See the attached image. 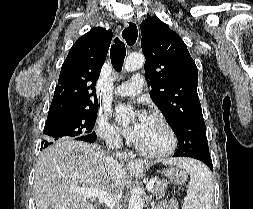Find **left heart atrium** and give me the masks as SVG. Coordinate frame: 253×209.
I'll use <instances>...</instances> for the list:
<instances>
[{
	"label": "left heart atrium",
	"instance_id": "39dd6f15",
	"mask_svg": "<svg viewBox=\"0 0 253 209\" xmlns=\"http://www.w3.org/2000/svg\"><path fill=\"white\" fill-rule=\"evenodd\" d=\"M151 116L144 110L139 109L132 124L122 127L123 134L133 142H138L149 123ZM120 121V117H117Z\"/></svg>",
	"mask_w": 253,
	"mask_h": 209
}]
</instances>
